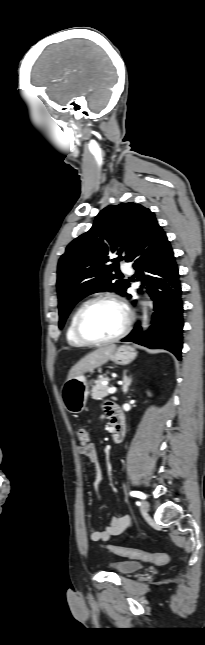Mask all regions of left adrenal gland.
Segmentation results:
<instances>
[{
  "mask_svg": "<svg viewBox=\"0 0 205 645\" xmlns=\"http://www.w3.org/2000/svg\"><path fill=\"white\" fill-rule=\"evenodd\" d=\"M130 384H131V378L127 377L126 371H124V373H123V386H122L124 394H126L128 392Z\"/></svg>",
  "mask_w": 205,
  "mask_h": 645,
  "instance_id": "a2214340",
  "label": "left adrenal gland"
}]
</instances>
